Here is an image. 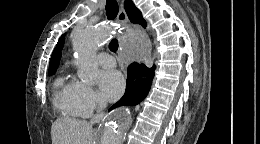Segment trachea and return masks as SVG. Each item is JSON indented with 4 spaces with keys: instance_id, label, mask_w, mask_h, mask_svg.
I'll list each match as a JSON object with an SVG mask.
<instances>
[{
    "instance_id": "trachea-1",
    "label": "trachea",
    "mask_w": 260,
    "mask_h": 144,
    "mask_svg": "<svg viewBox=\"0 0 260 144\" xmlns=\"http://www.w3.org/2000/svg\"><path fill=\"white\" fill-rule=\"evenodd\" d=\"M106 15L109 20H113L116 18L118 12H119V6L116 0H107L106 1ZM109 49L110 51L116 53L118 50V40L117 39H112L110 44H109Z\"/></svg>"
}]
</instances>
